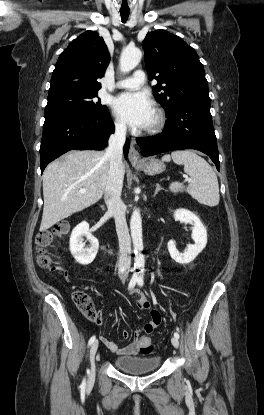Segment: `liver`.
I'll return each mask as SVG.
<instances>
[{"mask_svg": "<svg viewBox=\"0 0 264 415\" xmlns=\"http://www.w3.org/2000/svg\"><path fill=\"white\" fill-rule=\"evenodd\" d=\"M108 172L109 160L104 151H71L62 161L50 163L43 173L40 231L98 202L105 191ZM81 189L86 192L81 193Z\"/></svg>", "mask_w": 264, "mask_h": 415, "instance_id": "6515ba94", "label": "liver"}]
</instances>
